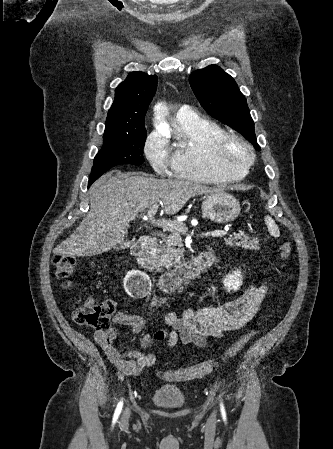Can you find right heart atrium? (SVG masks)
Instances as JSON below:
<instances>
[{"instance_id":"1","label":"right heart atrium","mask_w":333,"mask_h":449,"mask_svg":"<svg viewBox=\"0 0 333 449\" xmlns=\"http://www.w3.org/2000/svg\"><path fill=\"white\" fill-rule=\"evenodd\" d=\"M143 151L156 173L160 175L170 173L173 168V154L163 136L157 132H151L144 142Z\"/></svg>"}]
</instances>
